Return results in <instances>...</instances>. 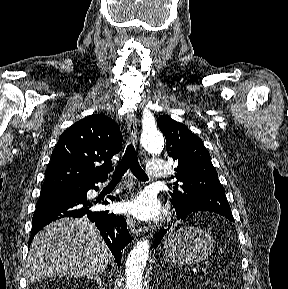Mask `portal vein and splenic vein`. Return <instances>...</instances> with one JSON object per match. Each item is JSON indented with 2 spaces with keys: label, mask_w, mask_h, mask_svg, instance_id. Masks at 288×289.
<instances>
[{
  "label": "portal vein and splenic vein",
  "mask_w": 288,
  "mask_h": 289,
  "mask_svg": "<svg viewBox=\"0 0 288 289\" xmlns=\"http://www.w3.org/2000/svg\"><path fill=\"white\" fill-rule=\"evenodd\" d=\"M201 272L204 274L207 273V266L206 265L201 268Z\"/></svg>",
  "instance_id": "obj_1"
}]
</instances>
